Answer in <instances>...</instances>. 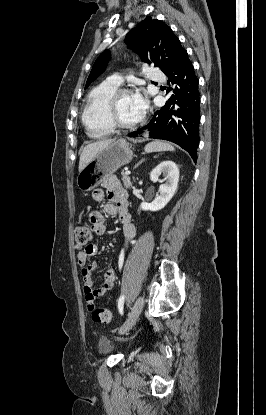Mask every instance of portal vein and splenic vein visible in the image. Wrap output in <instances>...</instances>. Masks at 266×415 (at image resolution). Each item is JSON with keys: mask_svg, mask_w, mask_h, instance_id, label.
Masks as SVG:
<instances>
[{"mask_svg": "<svg viewBox=\"0 0 266 415\" xmlns=\"http://www.w3.org/2000/svg\"><path fill=\"white\" fill-rule=\"evenodd\" d=\"M131 172L129 170H126L125 174L129 175Z\"/></svg>", "mask_w": 266, "mask_h": 415, "instance_id": "1", "label": "portal vein and splenic vein"}]
</instances>
